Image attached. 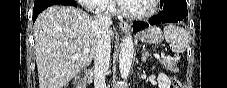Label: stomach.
I'll list each match as a JSON object with an SVG mask.
<instances>
[{"label":"stomach","instance_id":"0dacf381","mask_svg":"<svg viewBox=\"0 0 227 88\" xmlns=\"http://www.w3.org/2000/svg\"><path fill=\"white\" fill-rule=\"evenodd\" d=\"M140 41L150 44H158L163 40V34L159 27L152 26L138 34Z\"/></svg>","mask_w":227,"mask_h":88}]
</instances>
